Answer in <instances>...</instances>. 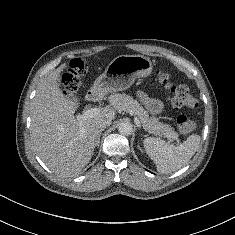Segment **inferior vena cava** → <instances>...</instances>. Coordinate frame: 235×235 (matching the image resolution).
Returning a JSON list of instances; mask_svg holds the SVG:
<instances>
[{"mask_svg":"<svg viewBox=\"0 0 235 235\" xmlns=\"http://www.w3.org/2000/svg\"><path fill=\"white\" fill-rule=\"evenodd\" d=\"M111 122H112V120L108 119V118L101 119L98 122V128L99 129L105 128V127L109 126L111 124Z\"/></svg>","mask_w":235,"mask_h":235,"instance_id":"inferior-vena-cava-1","label":"inferior vena cava"}]
</instances>
